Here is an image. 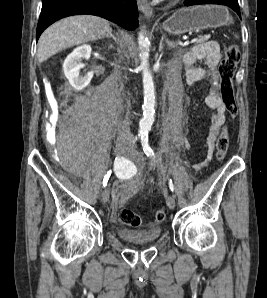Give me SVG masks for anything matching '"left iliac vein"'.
Returning a JSON list of instances; mask_svg holds the SVG:
<instances>
[{"label":"left iliac vein","mask_w":267,"mask_h":298,"mask_svg":"<svg viewBox=\"0 0 267 298\" xmlns=\"http://www.w3.org/2000/svg\"><path fill=\"white\" fill-rule=\"evenodd\" d=\"M127 152L131 157H134L136 151H135L134 147H130L127 149ZM166 203L170 209H174L175 208V197L173 195L167 196Z\"/></svg>","instance_id":"left-iliac-vein-1"}]
</instances>
